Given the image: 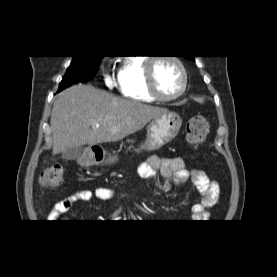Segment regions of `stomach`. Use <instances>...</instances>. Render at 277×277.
I'll use <instances>...</instances> for the list:
<instances>
[{"label": "stomach", "instance_id": "obj_1", "mask_svg": "<svg viewBox=\"0 0 277 277\" xmlns=\"http://www.w3.org/2000/svg\"><path fill=\"white\" fill-rule=\"evenodd\" d=\"M181 125V117L171 111H167L165 114L152 119L147 126V140L144 147L148 150L161 148L177 136ZM115 160V157H111L107 161L113 163ZM84 164H93L92 158H86Z\"/></svg>", "mask_w": 277, "mask_h": 277}]
</instances>
